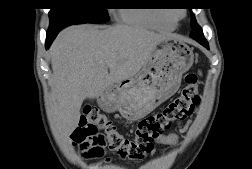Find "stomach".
I'll return each mask as SVG.
<instances>
[{"label":"stomach","mask_w":252,"mask_h":169,"mask_svg":"<svg viewBox=\"0 0 252 169\" xmlns=\"http://www.w3.org/2000/svg\"><path fill=\"white\" fill-rule=\"evenodd\" d=\"M193 61V50L185 42L166 38L134 77L103 92L98 103L106 112L119 111L129 121L139 120L178 90L182 75Z\"/></svg>","instance_id":"stomach-1"}]
</instances>
